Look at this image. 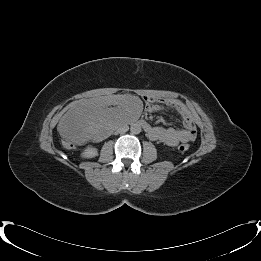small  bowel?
Masks as SVG:
<instances>
[{
  "mask_svg": "<svg viewBox=\"0 0 261 261\" xmlns=\"http://www.w3.org/2000/svg\"><path fill=\"white\" fill-rule=\"evenodd\" d=\"M147 101L149 111H174L181 117L184 126L183 130L153 126L151 131L148 132L151 139L164 142L169 146H176L182 142L188 143L195 140L197 127L191 113L183 104L171 99L148 98Z\"/></svg>",
  "mask_w": 261,
  "mask_h": 261,
  "instance_id": "small-bowel-1",
  "label": "small bowel"
}]
</instances>
